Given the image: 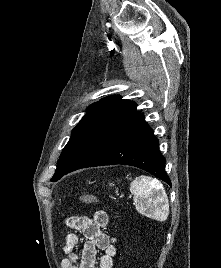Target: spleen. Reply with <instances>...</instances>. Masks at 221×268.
<instances>
[{"label":"spleen","instance_id":"3e777b00","mask_svg":"<svg viewBox=\"0 0 221 268\" xmlns=\"http://www.w3.org/2000/svg\"><path fill=\"white\" fill-rule=\"evenodd\" d=\"M136 210L157 221H165L169 214V202L162 183L150 176L141 175L130 184Z\"/></svg>","mask_w":221,"mask_h":268}]
</instances>
